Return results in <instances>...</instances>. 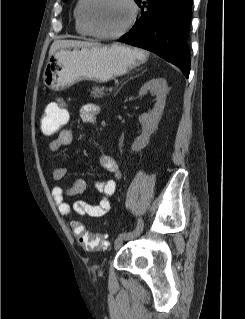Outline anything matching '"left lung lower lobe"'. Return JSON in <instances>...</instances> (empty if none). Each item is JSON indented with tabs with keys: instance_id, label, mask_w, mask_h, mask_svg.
<instances>
[{
	"instance_id": "1",
	"label": "left lung lower lobe",
	"mask_w": 245,
	"mask_h": 319,
	"mask_svg": "<svg viewBox=\"0 0 245 319\" xmlns=\"http://www.w3.org/2000/svg\"><path fill=\"white\" fill-rule=\"evenodd\" d=\"M193 0H136L141 17L118 41L154 52L178 66L186 77L190 73L187 37ZM145 7V11H143Z\"/></svg>"
}]
</instances>
